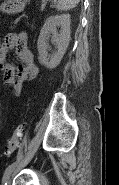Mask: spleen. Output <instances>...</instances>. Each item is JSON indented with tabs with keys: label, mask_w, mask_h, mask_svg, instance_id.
<instances>
[{
	"label": "spleen",
	"mask_w": 119,
	"mask_h": 185,
	"mask_svg": "<svg viewBox=\"0 0 119 185\" xmlns=\"http://www.w3.org/2000/svg\"><path fill=\"white\" fill-rule=\"evenodd\" d=\"M80 0H57V9L61 11L70 10L79 3Z\"/></svg>",
	"instance_id": "spleen-1"
}]
</instances>
